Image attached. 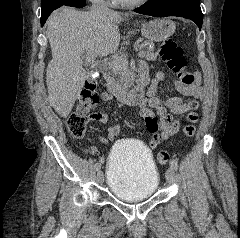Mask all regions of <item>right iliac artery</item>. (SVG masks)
<instances>
[{
	"label": "right iliac artery",
	"mask_w": 240,
	"mask_h": 238,
	"mask_svg": "<svg viewBox=\"0 0 240 238\" xmlns=\"http://www.w3.org/2000/svg\"><path fill=\"white\" fill-rule=\"evenodd\" d=\"M100 168H101V164L100 163H96L95 164V169L98 171V170H100Z\"/></svg>",
	"instance_id": "right-iliac-artery-1"
}]
</instances>
